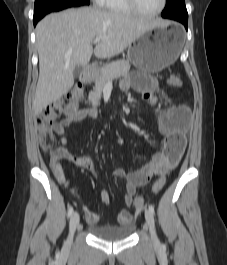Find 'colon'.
<instances>
[{
    "mask_svg": "<svg viewBox=\"0 0 227 265\" xmlns=\"http://www.w3.org/2000/svg\"><path fill=\"white\" fill-rule=\"evenodd\" d=\"M168 83L172 87H181L183 81L179 75L172 74L168 79ZM82 93L83 91L81 86H74L65 94L64 97L48 105L39 113L37 117V126L40 132V144L43 148L48 149L53 145L52 126L56 117L62 112L64 102H67L68 99H81ZM169 159L172 165H175L178 161L176 156H171ZM165 180L164 176L156 180L153 184L152 191L154 193L160 192L164 187ZM134 205L138 209L143 208L144 199L142 197H136L134 199Z\"/></svg>",
    "mask_w": 227,
    "mask_h": 265,
    "instance_id": "1",
    "label": "colon"
}]
</instances>
